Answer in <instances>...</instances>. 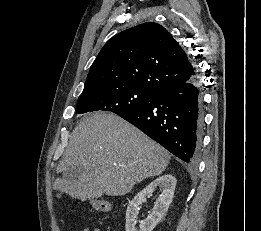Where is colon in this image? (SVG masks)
<instances>
[{"instance_id": "obj_1", "label": "colon", "mask_w": 261, "mask_h": 231, "mask_svg": "<svg viewBox=\"0 0 261 231\" xmlns=\"http://www.w3.org/2000/svg\"><path fill=\"white\" fill-rule=\"evenodd\" d=\"M90 206L99 212L102 213H110L113 211V205L107 201H98V200H92L90 201Z\"/></svg>"}]
</instances>
